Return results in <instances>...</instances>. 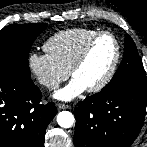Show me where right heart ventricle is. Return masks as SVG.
Masks as SVG:
<instances>
[{"mask_svg":"<svg viewBox=\"0 0 147 147\" xmlns=\"http://www.w3.org/2000/svg\"><path fill=\"white\" fill-rule=\"evenodd\" d=\"M98 31L90 28H71L52 35L44 50L63 68L70 70L84 44Z\"/></svg>","mask_w":147,"mask_h":147,"instance_id":"obj_1","label":"right heart ventricle"}]
</instances>
